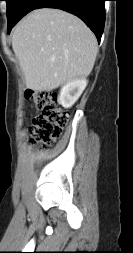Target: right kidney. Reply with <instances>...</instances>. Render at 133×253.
I'll use <instances>...</instances> for the list:
<instances>
[{"mask_svg":"<svg viewBox=\"0 0 133 253\" xmlns=\"http://www.w3.org/2000/svg\"><path fill=\"white\" fill-rule=\"evenodd\" d=\"M88 81L83 79L74 80L65 84L60 91L59 103L64 108H70L80 97L87 86Z\"/></svg>","mask_w":133,"mask_h":253,"instance_id":"1","label":"right kidney"}]
</instances>
